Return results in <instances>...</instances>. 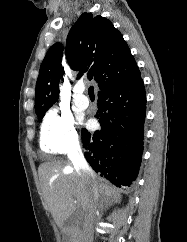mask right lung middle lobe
Wrapping results in <instances>:
<instances>
[{
    "label": "right lung middle lobe",
    "instance_id": "dd1d6c3e",
    "mask_svg": "<svg viewBox=\"0 0 187 242\" xmlns=\"http://www.w3.org/2000/svg\"><path fill=\"white\" fill-rule=\"evenodd\" d=\"M44 114H45V112L40 114V115H38L39 121H41V119L43 118Z\"/></svg>",
    "mask_w": 187,
    "mask_h": 242
}]
</instances>
